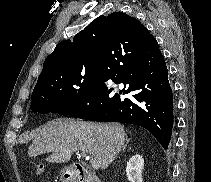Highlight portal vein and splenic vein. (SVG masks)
<instances>
[{"mask_svg":"<svg viewBox=\"0 0 211 182\" xmlns=\"http://www.w3.org/2000/svg\"><path fill=\"white\" fill-rule=\"evenodd\" d=\"M83 153H86V152H83ZM90 164L92 165V167L94 169H99V167H100L98 161L96 159H94V158L90 159Z\"/></svg>","mask_w":211,"mask_h":182,"instance_id":"portal-vein-and-splenic-vein-1","label":"portal vein and splenic vein"}]
</instances>
